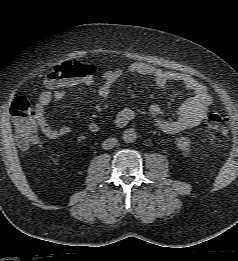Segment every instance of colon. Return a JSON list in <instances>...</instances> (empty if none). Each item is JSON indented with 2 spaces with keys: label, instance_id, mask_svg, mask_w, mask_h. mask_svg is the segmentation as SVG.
I'll list each match as a JSON object with an SVG mask.
<instances>
[{
  "label": "colon",
  "instance_id": "colon-1",
  "mask_svg": "<svg viewBox=\"0 0 238 261\" xmlns=\"http://www.w3.org/2000/svg\"><path fill=\"white\" fill-rule=\"evenodd\" d=\"M95 67L78 62L68 61L56 66L48 74L46 83L50 87L71 84L78 79L93 76ZM11 115L18 146L26 149L38 141L35 109L25 97H18L11 106ZM207 124L212 142L222 144L228 133V119L218 112L207 117Z\"/></svg>",
  "mask_w": 238,
  "mask_h": 261
}]
</instances>
